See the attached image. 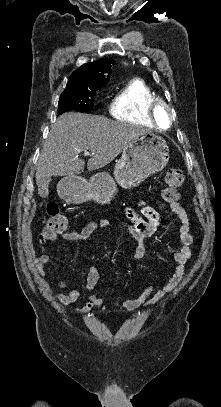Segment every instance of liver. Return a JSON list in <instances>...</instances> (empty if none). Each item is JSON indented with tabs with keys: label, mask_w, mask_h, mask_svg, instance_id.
I'll return each mask as SVG.
<instances>
[{
	"label": "liver",
	"mask_w": 221,
	"mask_h": 407,
	"mask_svg": "<svg viewBox=\"0 0 221 407\" xmlns=\"http://www.w3.org/2000/svg\"><path fill=\"white\" fill-rule=\"evenodd\" d=\"M148 130L113 121L106 117L69 112L58 117L40 153L36 182L44 177L74 176L84 171L82 151L93 156L87 162L89 171L105 167L127 146Z\"/></svg>",
	"instance_id": "liver-1"
}]
</instances>
